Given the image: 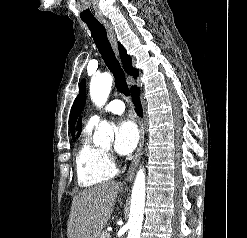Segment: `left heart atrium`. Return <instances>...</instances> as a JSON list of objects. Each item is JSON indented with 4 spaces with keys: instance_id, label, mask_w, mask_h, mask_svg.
<instances>
[{
    "instance_id": "1",
    "label": "left heart atrium",
    "mask_w": 247,
    "mask_h": 238,
    "mask_svg": "<svg viewBox=\"0 0 247 238\" xmlns=\"http://www.w3.org/2000/svg\"><path fill=\"white\" fill-rule=\"evenodd\" d=\"M139 132L135 123L130 119L120 120L115 129V150L121 155L131 153L136 147Z\"/></svg>"
}]
</instances>
